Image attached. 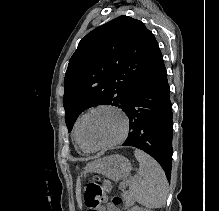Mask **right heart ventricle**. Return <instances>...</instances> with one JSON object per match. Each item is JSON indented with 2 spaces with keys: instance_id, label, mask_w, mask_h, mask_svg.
<instances>
[{
  "instance_id": "right-heart-ventricle-1",
  "label": "right heart ventricle",
  "mask_w": 219,
  "mask_h": 211,
  "mask_svg": "<svg viewBox=\"0 0 219 211\" xmlns=\"http://www.w3.org/2000/svg\"><path fill=\"white\" fill-rule=\"evenodd\" d=\"M79 120H80V119H78L77 122L75 123L74 129H73V137H74V140H75L76 144H77L78 146L82 147V146L80 145V143H79L78 135H77ZM82 149L85 150V151H89V150H87V149H85V148H83V147H82Z\"/></svg>"
}]
</instances>
